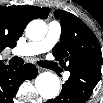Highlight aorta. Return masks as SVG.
<instances>
[{"label": "aorta", "instance_id": "obj_1", "mask_svg": "<svg viewBox=\"0 0 103 103\" xmlns=\"http://www.w3.org/2000/svg\"><path fill=\"white\" fill-rule=\"evenodd\" d=\"M46 33L47 25L40 19L32 20L26 27V36L33 41L43 39ZM35 87L42 98L53 99L59 94L60 80L55 74L44 72L37 76Z\"/></svg>", "mask_w": 103, "mask_h": 103}]
</instances>
